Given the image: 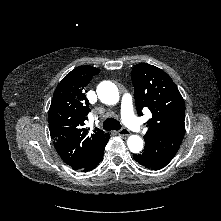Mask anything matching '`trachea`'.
Listing matches in <instances>:
<instances>
[{
  "mask_svg": "<svg viewBox=\"0 0 221 221\" xmlns=\"http://www.w3.org/2000/svg\"><path fill=\"white\" fill-rule=\"evenodd\" d=\"M103 128L107 131L110 130H120L121 124L114 118H107L103 123Z\"/></svg>",
  "mask_w": 221,
  "mask_h": 221,
  "instance_id": "1",
  "label": "trachea"
}]
</instances>
